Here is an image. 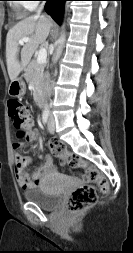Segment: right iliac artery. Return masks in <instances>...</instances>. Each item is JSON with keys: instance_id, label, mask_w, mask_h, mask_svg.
<instances>
[{"instance_id": "1", "label": "right iliac artery", "mask_w": 133, "mask_h": 253, "mask_svg": "<svg viewBox=\"0 0 133 253\" xmlns=\"http://www.w3.org/2000/svg\"><path fill=\"white\" fill-rule=\"evenodd\" d=\"M48 117H49L48 112H44L43 115H42V122L44 124H46L48 122Z\"/></svg>"}]
</instances>
